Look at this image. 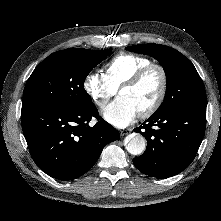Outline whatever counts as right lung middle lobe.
<instances>
[{
  "instance_id": "1",
  "label": "right lung middle lobe",
  "mask_w": 221,
  "mask_h": 221,
  "mask_svg": "<svg viewBox=\"0 0 221 221\" xmlns=\"http://www.w3.org/2000/svg\"><path fill=\"white\" fill-rule=\"evenodd\" d=\"M111 52L69 48L52 53L29 77L22 108L80 109L93 105L84 80Z\"/></svg>"
}]
</instances>
